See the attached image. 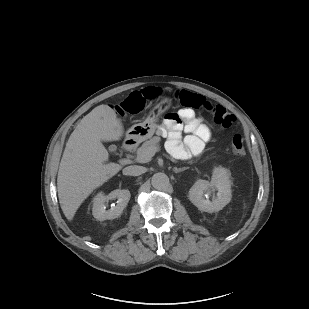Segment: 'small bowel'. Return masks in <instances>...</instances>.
I'll return each mask as SVG.
<instances>
[{
  "mask_svg": "<svg viewBox=\"0 0 309 309\" xmlns=\"http://www.w3.org/2000/svg\"><path fill=\"white\" fill-rule=\"evenodd\" d=\"M142 94L144 95L145 92ZM164 127L168 132L167 146L169 150L181 158L199 155L211 137L210 128L188 108L168 114L164 121ZM182 131L187 133L183 140Z\"/></svg>",
  "mask_w": 309,
  "mask_h": 309,
  "instance_id": "small-bowel-1",
  "label": "small bowel"
}]
</instances>
